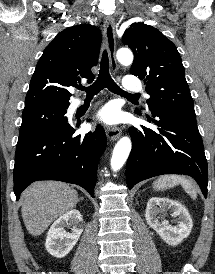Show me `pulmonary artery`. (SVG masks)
<instances>
[{
  "mask_svg": "<svg viewBox=\"0 0 215 274\" xmlns=\"http://www.w3.org/2000/svg\"><path fill=\"white\" fill-rule=\"evenodd\" d=\"M123 86H124V89L127 90V91L137 92V91L142 90V86H141L140 81L137 80L134 77H131V76H127V77L124 78ZM146 96H148V95H146ZM83 103H84V101L82 99H74L71 103V108L76 109L77 107H79Z\"/></svg>",
  "mask_w": 215,
  "mask_h": 274,
  "instance_id": "1",
  "label": "pulmonary artery"
}]
</instances>
